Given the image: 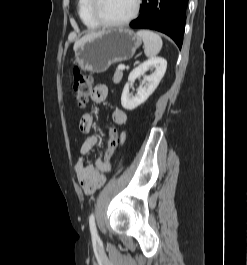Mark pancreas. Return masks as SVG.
Listing matches in <instances>:
<instances>
[{
    "label": "pancreas",
    "instance_id": "pancreas-1",
    "mask_svg": "<svg viewBox=\"0 0 247 265\" xmlns=\"http://www.w3.org/2000/svg\"><path fill=\"white\" fill-rule=\"evenodd\" d=\"M123 77L122 70H116L114 76H113V82L114 83H119Z\"/></svg>",
    "mask_w": 247,
    "mask_h": 265
}]
</instances>
